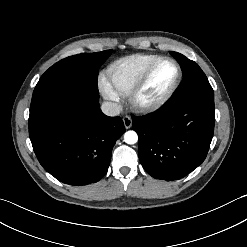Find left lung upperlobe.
Wrapping results in <instances>:
<instances>
[{
	"label": "left lung upper lobe",
	"mask_w": 247,
	"mask_h": 247,
	"mask_svg": "<svg viewBox=\"0 0 247 247\" xmlns=\"http://www.w3.org/2000/svg\"><path fill=\"white\" fill-rule=\"evenodd\" d=\"M172 54L182 67L184 82L168 101V105H177L197 98H214V91L198 64L180 53Z\"/></svg>",
	"instance_id": "5c2ea615"
}]
</instances>
